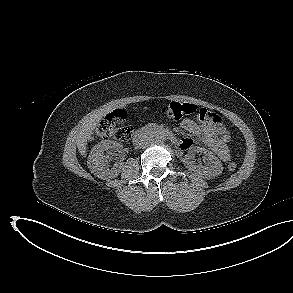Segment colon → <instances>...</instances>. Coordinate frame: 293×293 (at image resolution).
<instances>
[{"label":"colon","instance_id":"colon-1","mask_svg":"<svg viewBox=\"0 0 293 293\" xmlns=\"http://www.w3.org/2000/svg\"><path fill=\"white\" fill-rule=\"evenodd\" d=\"M163 112L170 118L175 120L181 119L184 116L194 115L202 121L211 122L217 125L220 129L221 139L225 142L229 141L230 136L222 124L221 116L214 111H209L205 108H199L191 103L171 102L163 108ZM132 116L121 109L114 110L107 114L95 129V136L100 139H114L117 141L127 140L132 133ZM237 168L236 162H231L228 165L230 171Z\"/></svg>","mask_w":293,"mask_h":293}]
</instances>
